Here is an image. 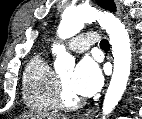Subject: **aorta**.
<instances>
[{"mask_svg": "<svg viewBox=\"0 0 142 119\" xmlns=\"http://www.w3.org/2000/svg\"><path fill=\"white\" fill-rule=\"evenodd\" d=\"M96 21L109 35L114 58V71L102 108L103 119H105V116H108L121 100L130 74L131 47L125 26L111 13L101 12L92 7L70 6L62 13L57 35L61 39L70 38L80 32L86 23ZM52 53L56 55V71L63 72L74 67V58L64 46L53 45Z\"/></svg>", "mask_w": 142, "mask_h": 119, "instance_id": "762f6f07", "label": "aorta"}]
</instances>
